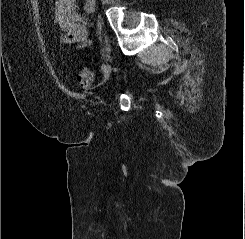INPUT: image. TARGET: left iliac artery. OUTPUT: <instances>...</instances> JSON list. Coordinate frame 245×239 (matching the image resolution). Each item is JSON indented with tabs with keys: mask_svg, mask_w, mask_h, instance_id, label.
<instances>
[{
	"mask_svg": "<svg viewBox=\"0 0 245 239\" xmlns=\"http://www.w3.org/2000/svg\"><path fill=\"white\" fill-rule=\"evenodd\" d=\"M104 69H105V65L104 64H102V66H101V70L104 72Z\"/></svg>",
	"mask_w": 245,
	"mask_h": 239,
	"instance_id": "left-iliac-artery-1",
	"label": "left iliac artery"
}]
</instances>
